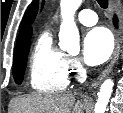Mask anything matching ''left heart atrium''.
<instances>
[{
	"mask_svg": "<svg viewBox=\"0 0 123 113\" xmlns=\"http://www.w3.org/2000/svg\"><path fill=\"white\" fill-rule=\"evenodd\" d=\"M84 59L90 65L105 62L113 51V38L110 32L97 27L88 31L83 40Z\"/></svg>",
	"mask_w": 123,
	"mask_h": 113,
	"instance_id": "1",
	"label": "left heart atrium"
}]
</instances>
